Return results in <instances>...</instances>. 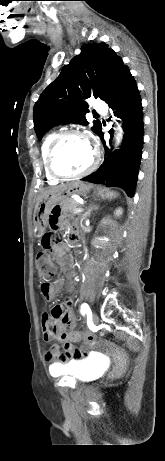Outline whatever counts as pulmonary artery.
Returning a JSON list of instances; mask_svg holds the SVG:
<instances>
[{"label":"pulmonary artery","mask_w":165,"mask_h":461,"mask_svg":"<svg viewBox=\"0 0 165 461\" xmlns=\"http://www.w3.org/2000/svg\"><path fill=\"white\" fill-rule=\"evenodd\" d=\"M94 109L95 111L99 112V113H102V114H105L106 111H107V108L106 106L100 102V101H97L94 105Z\"/></svg>","instance_id":"e3ab8cb5"}]
</instances>
